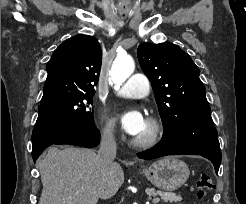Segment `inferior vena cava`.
Listing matches in <instances>:
<instances>
[{
    "mask_svg": "<svg viewBox=\"0 0 246 204\" xmlns=\"http://www.w3.org/2000/svg\"><path fill=\"white\" fill-rule=\"evenodd\" d=\"M116 141L112 129L104 131L101 136L100 149L98 151V158L102 165L109 169L114 164V159L116 157Z\"/></svg>",
    "mask_w": 246,
    "mask_h": 204,
    "instance_id": "obj_1",
    "label": "inferior vena cava"
}]
</instances>
